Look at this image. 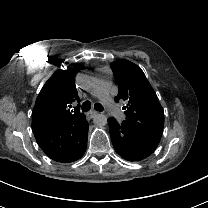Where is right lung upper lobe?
Returning a JSON list of instances; mask_svg holds the SVG:
<instances>
[{"label": "right lung upper lobe", "mask_w": 208, "mask_h": 208, "mask_svg": "<svg viewBox=\"0 0 208 208\" xmlns=\"http://www.w3.org/2000/svg\"><path fill=\"white\" fill-rule=\"evenodd\" d=\"M78 69H59L45 83L32 111V128L66 124L84 115L79 106L70 109L80 101L74 83Z\"/></svg>", "instance_id": "obj_1"}]
</instances>
